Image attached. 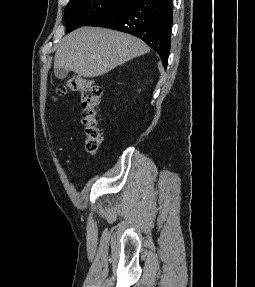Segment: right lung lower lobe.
I'll return each instance as SVG.
<instances>
[{
	"mask_svg": "<svg viewBox=\"0 0 255 287\" xmlns=\"http://www.w3.org/2000/svg\"><path fill=\"white\" fill-rule=\"evenodd\" d=\"M172 23V0H127L88 26L115 29L142 39L160 55L166 67Z\"/></svg>",
	"mask_w": 255,
	"mask_h": 287,
	"instance_id": "obj_1",
	"label": "right lung lower lobe"
}]
</instances>
